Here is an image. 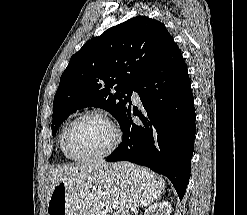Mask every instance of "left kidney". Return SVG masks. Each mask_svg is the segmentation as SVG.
<instances>
[{
  "mask_svg": "<svg viewBox=\"0 0 247 215\" xmlns=\"http://www.w3.org/2000/svg\"><path fill=\"white\" fill-rule=\"evenodd\" d=\"M172 210L170 202L155 203L146 209L144 215H170Z\"/></svg>",
  "mask_w": 247,
  "mask_h": 215,
  "instance_id": "1",
  "label": "left kidney"
}]
</instances>
